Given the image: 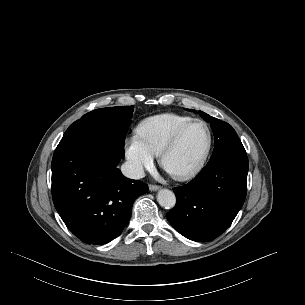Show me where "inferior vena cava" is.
<instances>
[{
	"label": "inferior vena cava",
	"instance_id": "inferior-vena-cava-1",
	"mask_svg": "<svg viewBox=\"0 0 305 305\" xmlns=\"http://www.w3.org/2000/svg\"><path fill=\"white\" fill-rule=\"evenodd\" d=\"M121 171L124 176L130 179H141L145 177L144 169L140 164L130 161L125 162L121 166Z\"/></svg>",
	"mask_w": 305,
	"mask_h": 305
}]
</instances>
